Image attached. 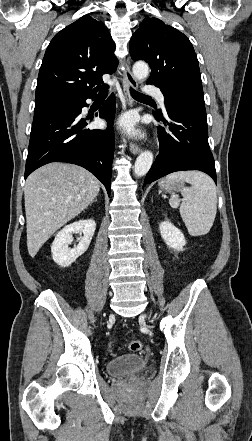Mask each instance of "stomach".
<instances>
[{
  "label": "stomach",
  "mask_w": 252,
  "mask_h": 441,
  "mask_svg": "<svg viewBox=\"0 0 252 441\" xmlns=\"http://www.w3.org/2000/svg\"><path fill=\"white\" fill-rule=\"evenodd\" d=\"M159 186H160L161 189H166L165 181L160 182V183H159ZM182 187H183V183H182V182H176V183H174V184H171V185L169 186V189H166V190H168V191H178V190H180Z\"/></svg>",
  "instance_id": "obj_1"
}]
</instances>
